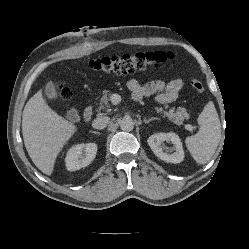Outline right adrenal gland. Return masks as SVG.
I'll return each mask as SVG.
<instances>
[{"instance_id":"obj_1","label":"right adrenal gland","mask_w":249,"mask_h":249,"mask_svg":"<svg viewBox=\"0 0 249 249\" xmlns=\"http://www.w3.org/2000/svg\"><path fill=\"white\" fill-rule=\"evenodd\" d=\"M91 133H93V134H98V135H100L101 133L100 132H98V131H90Z\"/></svg>"}]
</instances>
